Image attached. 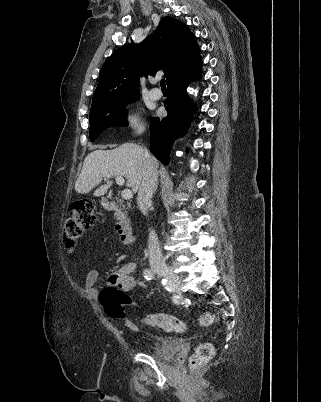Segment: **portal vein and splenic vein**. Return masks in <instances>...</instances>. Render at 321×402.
<instances>
[{"mask_svg": "<svg viewBox=\"0 0 321 402\" xmlns=\"http://www.w3.org/2000/svg\"><path fill=\"white\" fill-rule=\"evenodd\" d=\"M115 180L118 185H124L125 183V180L122 176H116ZM121 195L124 199H131L133 197V193L130 189H124Z\"/></svg>", "mask_w": 321, "mask_h": 402, "instance_id": "18ae733b", "label": "portal vein and splenic vein"}]
</instances>
